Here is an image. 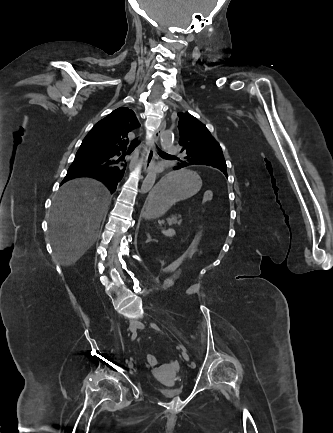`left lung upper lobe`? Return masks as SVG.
I'll list each match as a JSON object with an SVG mask.
<instances>
[{
	"label": "left lung upper lobe",
	"mask_w": 333,
	"mask_h": 433,
	"mask_svg": "<svg viewBox=\"0 0 333 433\" xmlns=\"http://www.w3.org/2000/svg\"><path fill=\"white\" fill-rule=\"evenodd\" d=\"M179 144L186 156L175 170L189 165H207L218 168L226 176V162L220 145L204 124L189 113H178Z\"/></svg>",
	"instance_id": "1"
}]
</instances>
